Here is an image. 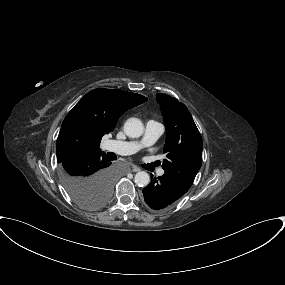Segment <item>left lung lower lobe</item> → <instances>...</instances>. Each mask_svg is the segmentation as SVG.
Wrapping results in <instances>:
<instances>
[{
    "label": "left lung lower lobe",
    "instance_id": "left-lung-lower-lobe-1",
    "mask_svg": "<svg viewBox=\"0 0 285 285\" xmlns=\"http://www.w3.org/2000/svg\"><path fill=\"white\" fill-rule=\"evenodd\" d=\"M189 188L171 175L164 173L158 179L151 176L150 184L143 189L144 200L154 210H161L173 205Z\"/></svg>",
    "mask_w": 285,
    "mask_h": 285
}]
</instances>
